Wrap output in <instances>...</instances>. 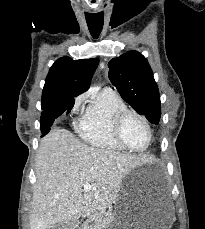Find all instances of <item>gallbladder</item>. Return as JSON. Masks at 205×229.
Here are the masks:
<instances>
[{
    "instance_id": "bac80fb5",
    "label": "gallbladder",
    "mask_w": 205,
    "mask_h": 229,
    "mask_svg": "<svg viewBox=\"0 0 205 229\" xmlns=\"http://www.w3.org/2000/svg\"><path fill=\"white\" fill-rule=\"evenodd\" d=\"M67 226H68L67 223L61 222V223H56L55 225H53L49 229H65V227H67Z\"/></svg>"
}]
</instances>
